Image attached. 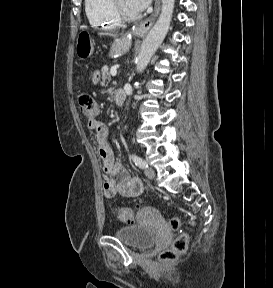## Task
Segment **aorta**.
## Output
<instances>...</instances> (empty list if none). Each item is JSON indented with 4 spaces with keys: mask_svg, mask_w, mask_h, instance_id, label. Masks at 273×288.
<instances>
[{
    "mask_svg": "<svg viewBox=\"0 0 273 288\" xmlns=\"http://www.w3.org/2000/svg\"><path fill=\"white\" fill-rule=\"evenodd\" d=\"M175 0H162L161 13L142 42L137 61L136 70L141 73L150 62V59L163 42L172 19Z\"/></svg>",
    "mask_w": 273,
    "mask_h": 288,
    "instance_id": "obj_1",
    "label": "aorta"
}]
</instances>
